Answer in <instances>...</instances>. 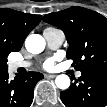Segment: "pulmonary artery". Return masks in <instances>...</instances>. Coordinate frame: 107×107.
<instances>
[{
    "instance_id": "obj_1",
    "label": "pulmonary artery",
    "mask_w": 107,
    "mask_h": 107,
    "mask_svg": "<svg viewBox=\"0 0 107 107\" xmlns=\"http://www.w3.org/2000/svg\"><path fill=\"white\" fill-rule=\"evenodd\" d=\"M43 35L47 42L48 47L53 50L58 49L65 39L63 32L55 28H46L43 32ZM29 66L30 63L27 61H14L10 64V67L13 70H16L18 68H27ZM76 76L80 77L81 72H77Z\"/></svg>"
}]
</instances>
